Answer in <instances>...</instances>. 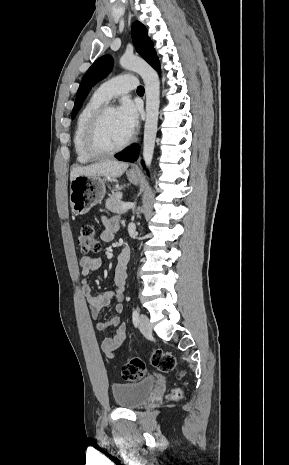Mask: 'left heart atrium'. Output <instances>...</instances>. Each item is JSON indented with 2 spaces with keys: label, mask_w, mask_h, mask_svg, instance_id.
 I'll use <instances>...</instances> for the list:
<instances>
[{
  "label": "left heart atrium",
  "mask_w": 289,
  "mask_h": 465,
  "mask_svg": "<svg viewBox=\"0 0 289 465\" xmlns=\"http://www.w3.org/2000/svg\"><path fill=\"white\" fill-rule=\"evenodd\" d=\"M116 112L124 132L130 137L138 126L139 108L131 100L125 99L116 109Z\"/></svg>",
  "instance_id": "obj_1"
}]
</instances>
